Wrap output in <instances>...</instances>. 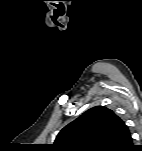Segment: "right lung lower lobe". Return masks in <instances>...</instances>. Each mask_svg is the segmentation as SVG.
Segmentation results:
<instances>
[{
	"mask_svg": "<svg viewBox=\"0 0 142 151\" xmlns=\"http://www.w3.org/2000/svg\"><path fill=\"white\" fill-rule=\"evenodd\" d=\"M130 151H135V150H140V151H142V147H138V149H135V146L133 147V149H129Z\"/></svg>",
	"mask_w": 142,
	"mask_h": 151,
	"instance_id": "98d812e1",
	"label": "right lung lower lobe"
}]
</instances>
